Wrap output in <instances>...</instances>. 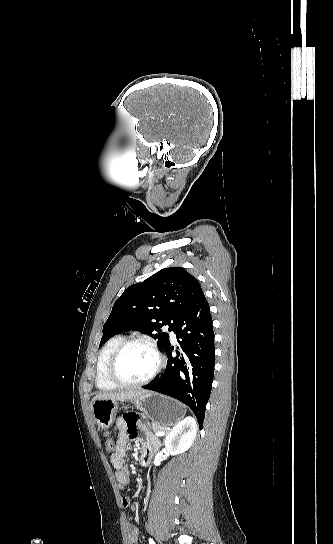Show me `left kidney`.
<instances>
[{
  "label": "left kidney",
  "mask_w": 333,
  "mask_h": 544,
  "mask_svg": "<svg viewBox=\"0 0 333 544\" xmlns=\"http://www.w3.org/2000/svg\"><path fill=\"white\" fill-rule=\"evenodd\" d=\"M197 424L194 418L186 417L179 422L167 435L165 448L171 455H177L187 451L196 436Z\"/></svg>",
  "instance_id": "1"
}]
</instances>
